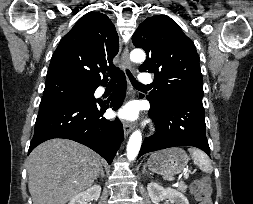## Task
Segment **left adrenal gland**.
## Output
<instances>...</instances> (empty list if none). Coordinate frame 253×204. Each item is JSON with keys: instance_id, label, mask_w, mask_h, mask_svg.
Instances as JSON below:
<instances>
[{"instance_id": "1", "label": "left adrenal gland", "mask_w": 253, "mask_h": 204, "mask_svg": "<svg viewBox=\"0 0 253 204\" xmlns=\"http://www.w3.org/2000/svg\"><path fill=\"white\" fill-rule=\"evenodd\" d=\"M148 174V171L146 170V165L143 166V169H142V174Z\"/></svg>"}]
</instances>
